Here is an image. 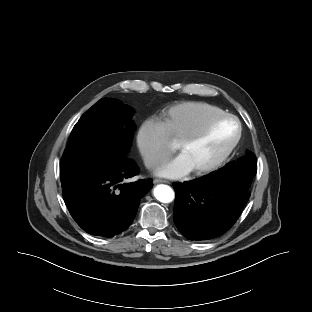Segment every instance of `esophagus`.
Wrapping results in <instances>:
<instances>
[{
  "label": "esophagus",
  "instance_id": "34e87169",
  "mask_svg": "<svg viewBox=\"0 0 312 312\" xmlns=\"http://www.w3.org/2000/svg\"><path fill=\"white\" fill-rule=\"evenodd\" d=\"M155 184L157 183H166V184H169L170 182L167 181V180H163V179H154L153 181Z\"/></svg>",
  "mask_w": 312,
  "mask_h": 312
}]
</instances>
